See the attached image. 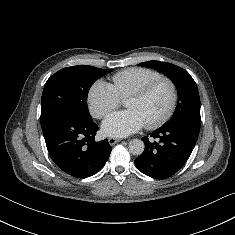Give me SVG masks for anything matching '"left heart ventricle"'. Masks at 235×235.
Segmentation results:
<instances>
[{
	"mask_svg": "<svg viewBox=\"0 0 235 235\" xmlns=\"http://www.w3.org/2000/svg\"><path fill=\"white\" fill-rule=\"evenodd\" d=\"M171 99L169 87L159 85L143 99L128 98L125 102L127 109H134L143 117L145 123L152 122L162 116L167 110Z\"/></svg>",
	"mask_w": 235,
	"mask_h": 235,
	"instance_id": "obj_1",
	"label": "left heart ventricle"
}]
</instances>
